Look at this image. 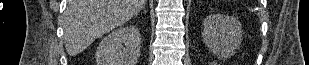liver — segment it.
<instances>
[{
	"mask_svg": "<svg viewBox=\"0 0 309 65\" xmlns=\"http://www.w3.org/2000/svg\"><path fill=\"white\" fill-rule=\"evenodd\" d=\"M146 0H68L64 12V43L74 56L95 39L136 16Z\"/></svg>",
	"mask_w": 309,
	"mask_h": 65,
	"instance_id": "6515ba94",
	"label": "liver"
}]
</instances>
